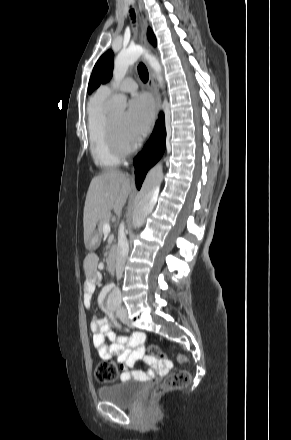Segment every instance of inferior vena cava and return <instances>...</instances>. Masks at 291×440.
Returning <instances> with one entry per match:
<instances>
[{"instance_id":"1","label":"inferior vena cava","mask_w":291,"mask_h":440,"mask_svg":"<svg viewBox=\"0 0 291 440\" xmlns=\"http://www.w3.org/2000/svg\"><path fill=\"white\" fill-rule=\"evenodd\" d=\"M120 234L118 236V248H117V258H116V276L120 279L123 274L126 256L128 254V241L124 234V224L120 225Z\"/></svg>"}]
</instances>
